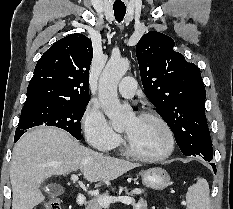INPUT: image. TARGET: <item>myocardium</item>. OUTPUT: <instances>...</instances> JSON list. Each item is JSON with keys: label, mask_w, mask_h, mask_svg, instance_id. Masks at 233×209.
Returning <instances> with one entry per match:
<instances>
[{"label": "myocardium", "mask_w": 233, "mask_h": 209, "mask_svg": "<svg viewBox=\"0 0 233 209\" xmlns=\"http://www.w3.org/2000/svg\"><path fill=\"white\" fill-rule=\"evenodd\" d=\"M137 117H146V118H151L157 121L162 126V128L164 129L166 133L167 146L162 153L158 155L147 156L134 150V148L131 146L126 136L124 140V150L126 154L138 161L147 162V163H155V162H160V161L167 159L173 153L175 149V136L169 123L160 114L152 110L142 111L138 114Z\"/></svg>", "instance_id": "obj_1"}]
</instances>
